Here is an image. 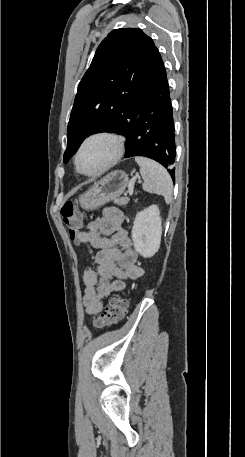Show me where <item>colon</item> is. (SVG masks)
<instances>
[{
  "mask_svg": "<svg viewBox=\"0 0 245 457\" xmlns=\"http://www.w3.org/2000/svg\"><path fill=\"white\" fill-rule=\"evenodd\" d=\"M61 216L71 239L76 240L80 233L81 216L76 209L75 203L68 201L61 208ZM128 300L120 297L111 301L101 314L93 317L91 325L97 329H103L117 324L126 313Z\"/></svg>",
  "mask_w": 245,
  "mask_h": 457,
  "instance_id": "colon-1",
  "label": "colon"
}]
</instances>
